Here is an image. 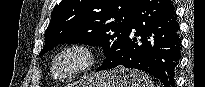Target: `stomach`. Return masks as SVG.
I'll return each mask as SVG.
<instances>
[{
    "label": "stomach",
    "instance_id": "obj_1",
    "mask_svg": "<svg viewBox=\"0 0 205 87\" xmlns=\"http://www.w3.org/2000/svg\"><path fill=\"white\" fill-rule=\"evenodd\" d=\"M76 87H152V84L145 73L120 67L90 75Z\"/></svg>",
    "mask_w": 205,
    "mask_h": 87
}]
</instances>
